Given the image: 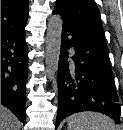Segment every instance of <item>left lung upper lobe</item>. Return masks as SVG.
<instances>
[{
  "label": "left lung upper lobe",
  "mask_w": 123,
  "mask_h": 130,
  "mask_svg": "<svg viewBox=\"0 0 123 130\" xmlns=\"http://www.w3.org/2000/svg\"><path fill=\"white\" fill-rule=\"evenodd\" d=\"M54 12L78 35L106 45L100 12L94 0H57Z\"/></svg>",
  "instance_id": "5c2ea615"
}]
</instances>
